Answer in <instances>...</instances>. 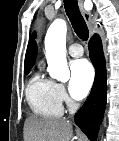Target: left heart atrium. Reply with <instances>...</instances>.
I'll return each instance as SVG.
<instances>
[{
    "mask_svg": "<svg viewBox=\"0 0 119 141\" xmlns=\"http://www.w3.org/2000/svg\"><path fill=\"white\" fill-rule=\"evenodd\" d=\"M70 82L69 92L75 99L84 98L89 92L93 79L94 72L87 60H76L70 65Z\"/></svg>",
    "mask_w": 119,
    "mask_h": 141,
    "instance_id": "1",
    "label": "left heart atrium"
}]
</instances>
